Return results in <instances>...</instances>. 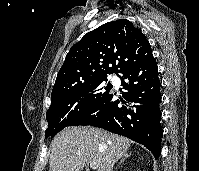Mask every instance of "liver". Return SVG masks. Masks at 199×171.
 Returning <instances> with one entry per match:
<instances>
[{
  "label": "liver",
  "mask_w": 199,
  "mask_h": 171,
  "mask_svg": "<svg viewBox=\"0 0 199 171\" xmlns=\"http://www.w3.org/2000/svg\"><path fill=\"white\" fill-rule=\"evenodd\" d=\"M130 144L126 137L91 126L67 127L51 143L49 171H82L91 163L97 171H112Z\"/></svg>",
  "instance_id": "obj_1"
}]
</instances>
